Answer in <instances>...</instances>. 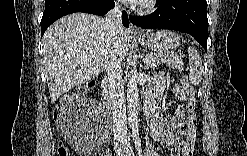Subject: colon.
<instances>
[{
  "mask_svg": "<svg viewBox=\"0 0 247 156\" xmlns=\"http://www.w3.org/2000/svg\"><path fill=\"white\" fill-rule=\"evenodd\" d=\"M182 87L185 91L186 101H187V112L189 116H194L195 108H196V94L194 89L192 88L188 78L183 76ZM92 87H94V82H88L83 86L78 87L70 94H66L61 98V101L58 105L57 111L54 114V119L58 123L67 122V110L75 100L82 97L86 94ZM57 154L58 156H70V150L68 146L63 142L59 141L57 145Z\"/></svg>",
  "mask_w": 247,
  "mask_h": 156,
  "instance_id": "colon-1",
  "label": "colon"
}]
</instances>
